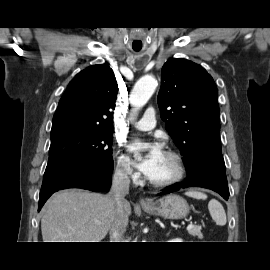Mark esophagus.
I'll return each instance as SVG.
<instances>
[{
    "label": "esophagus",
    "mask_w": 270,
    "mask_h": 270,
    "mask_svg": "<svg viewBox=\"0 0 270 270\" xmlns=\"http://www.w3.org/2000/svg\"><path fill=\"white\" fill-rule=\"evenodd\" d=\"M139 204L141 206H149L152 204V202L149 199L141 198Z\"/></svg>",
    "instance_id": "obj_1"
}]
</instances>
